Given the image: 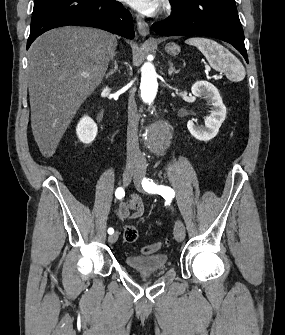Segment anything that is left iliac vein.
<instances>
[{
    "instance_id": "left-iliac-vein-1",
    "label": "left iliac vein",
    "mask_w": 285,
    "mask_h": 335,
    "mask_svg": "<svg viewBox=\"0 0 285 335\" xmlns=\"http://www.w3.org/2000/svg\"><path fill=\"white\" fill-rule=\"evenodd\" d=\"M141 176L140 173H137V176L134 177V184L138 191L143 192V188L141 186ZM185 226L181 220H177L174 226V237L178 242H182L185 238Z\"/></svg>"
}]
</instances>
